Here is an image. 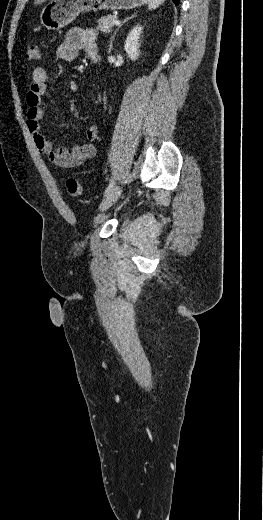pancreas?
I'll return each mask as SVG.
<instances>
[{
	"mask_svg": "<svg viewBox=\"0 0 263 520\" xmlns=\"http://www.w3.org/2000/svg\"><path fill=\"white\" fill-rule=\"evenodd\" d=\"M117 18L118 17L116 15H107V16L101 17L98 20V26H97L98 30H100L101 32H105V33L110 32L114 26L113 21L117 20Z\"/></svg>",
	"mask_w": 263,
	"mask_h": 520,
	"instance_id": "1",
	"label": "pancreas"
}]
</instances>
